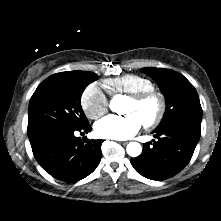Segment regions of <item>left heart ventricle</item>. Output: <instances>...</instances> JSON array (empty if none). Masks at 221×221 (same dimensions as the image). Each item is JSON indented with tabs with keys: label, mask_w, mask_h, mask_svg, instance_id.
Here are the masks:
<instances>
[{
	"label": "left heart ventricle",
	"mask_w": 221,
	"mask_h": 221,
	"mask_svg": "<svg viewBox=\"0 0 221 221\" xmlns=\"http://www.w3.org/2000/svg\"><path fill=\"white\" fill-rule=\"evenodd\" d=\"M156 108L157 105L154 101H150L142 105H137L131 100H128L124 112L127 114L136 113L141 118V120L144 121L155 114Z\"/></svg>",
	"instance_id": "1"
}]
</instances>
